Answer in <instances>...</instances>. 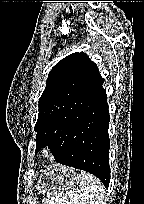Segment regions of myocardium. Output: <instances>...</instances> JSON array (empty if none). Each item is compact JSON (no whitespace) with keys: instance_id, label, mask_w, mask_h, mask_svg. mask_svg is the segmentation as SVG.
Instances as JSON below:
<instances>
[{"instance_id":"myocardium-1","label":"myocardium","mask_w":144,"mask_h":204,"mask_svg":"<svg viewBox=\"0 0 144 204\" xmlns=\"http://www.w3.org/2000/svg\"><path fill=\"white\" fill-rule=\"evenodd\" d=\"M52 153V150L50 147L48 146H45L43 149H42V154L45 155V156H48Z\"/></svg>"}]
</instances>
